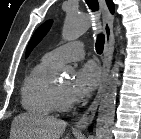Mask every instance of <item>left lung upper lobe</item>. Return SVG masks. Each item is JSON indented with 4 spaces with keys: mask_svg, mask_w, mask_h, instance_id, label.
I'll use <instances>...</instances> for the list:
<instances>
[{
    "mask_svg": "<svg viewBox=\"0 0 141 139\" xmlns=\"http://www.w3.org/2000/svg\"><path fill=\"white\" fill-rule=\"evenodd\" d=\"M52 25V20H48L43 23L32 36L26 50V56L32 51V49L37 45L38 42L45 36Z\"/></svg>",
    "mask_w": 141,
    "mask_h": 139,
    "instance_id": "left-lung-upper-lobe-1",
    "label": "left lung upper lobe"
}]
</instances>
